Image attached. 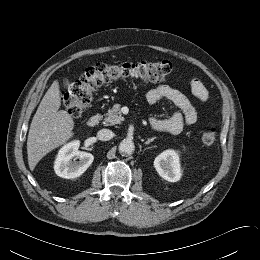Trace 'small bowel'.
<instances>
[{
  "label": "small bowel",
  "mask_w": 260,
  "mask_h": 260,
  "mask_svg": "<svg viewBox=\"0 0 260 260\" xmlns=\"http://www.w3.org/2000/svg\"><path fill=\"white\" fill-rule=\"evenodd\" d=\"M190 87L199 101L206 102L208 100V91L199 79H192ZM146 97L151 105H155L162 100H168L178 108L168 119L150 120L151 127L157 131L177 134L183 130L185 125H192L197 120L195 106L185 94L176 88L169 85H160L149 90Z\"/></svg>",
  "instance_id": "1"
}]
</instances>
